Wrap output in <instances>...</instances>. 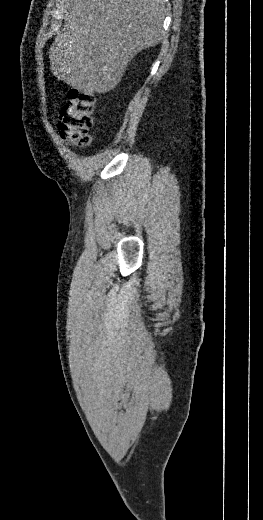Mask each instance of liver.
I'll return each mask as SVG.
<instances>
[{
    "instance_id": "6515ba94",
    "label": "liver",
    "mask_w": 263,
    "mask_h": 520,
    "mask_svg": "<svg viewBox=\"0 0 263 520\" xmlns=\"http://www.w3.org/2000/svg\"><path fill=\"white\" fill-rule=\"evenodd\" d=\"M64 9L50 67L77 90H113L134 56L164 37L163 0H64Z\"/></svg>"
}]
</instances>
